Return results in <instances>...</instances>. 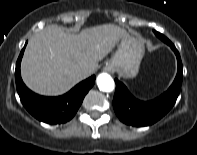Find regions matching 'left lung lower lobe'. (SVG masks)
<instances>
[{"mask_svg":"<svg viewBox=\"0 0 197 155\" xmlns=\"http://www.w3.org/2000/svg\"><path fill=\"white\" fill-rule=\"evenodd\" d=\"M166 44L176 54L178 71L172 85L161 96L151 101H140L132 96L122 82L115 79L116 90L113 107L123 123L136 127L151 125L161 119L175 104L182 84L183 66L175 46L169 40Z\"/></svg>","mask_w":197,"mask_h":155,"instance_id":"obj_1","label":"left lung lower lobe"}]
</instances>
